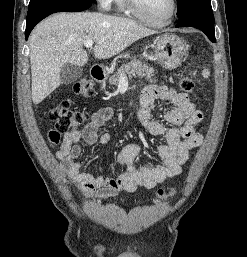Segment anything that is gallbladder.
<instances>
[{"mask_svg":"<svg viewBox=\"0 0 247 257\" xmlns=\"http://www.w3.org/2000/svg\"><path fill=\"white\" fill-rule=\"evenodd\" d=\"M82 74L83 69L81 67L70 63L64 64L60 71L61 83L65 85L71 84L81 78Z\"/></svg>","mask_w":247,"mask_h":257,"instance_id":"1","label":"gallbladder"}]
</instances>
